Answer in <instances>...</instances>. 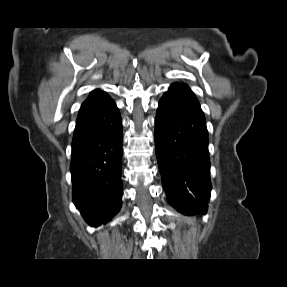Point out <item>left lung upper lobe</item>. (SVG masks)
I'll return each mask as SVG.
<instances>
[{"label":"left lung upper lobe","instance_id":"1","mask_svg":"<svg viewBox=\"0 0 287 287\" xmlns=\"http://www.w3.org/2000/svg\"><path fill=\"white\" fill-rule=\"evenodd\" d=\"M181 86L189 95V97L197 104H199L198 100L196 99L194 93L190 90V88L186 84L174 83ZM200 105V104H199Z\"/></svg>","mask_w":287,"mask_h":287}]
</instances>
